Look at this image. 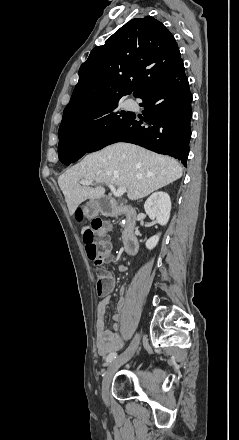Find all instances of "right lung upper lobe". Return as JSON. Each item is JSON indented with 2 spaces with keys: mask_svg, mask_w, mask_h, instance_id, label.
<instances>
[{
  "mask_svg": "<svg viewBox=\"0 0 239 440\" xmlns=\"http://www.w3.org/2000/svg\"><path fill=\"white\" fill-rule=\"evenodd\" d=\"M181 61L176 40L153 17L130 20L95 47L79 69V81L62 122L97 110L112 99L140 96Z\"/></svg>",
  "mask_w": 239,
  "mask_h": 440,
  "instance_id": "cb5924a9",
  "label": "right lung upper lobe"
}]
</instances>
